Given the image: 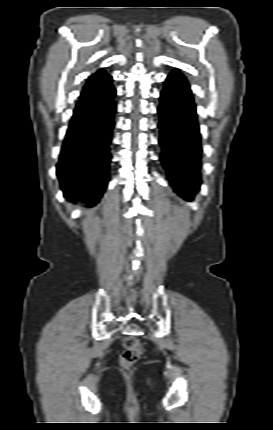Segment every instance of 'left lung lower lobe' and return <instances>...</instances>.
I'll return each instance as SVG.
<instances>
[{
	"label": "left lung lower lobe",
	"instance_id": "left-lung-lower-lobe-1",
	"mask_svg": "<svg viewBox=\"0 0 273 430\" xmlns=\"http://www.w3.org/2000/svg\"><path fill=\"white\" fill-rule=\"evenodd\" d=\"M158 113L163 166L174 191L191 201L201 184V137L190 86L177 70L166 78Z\"/></svg>",
	"mask_w": 273,
	"mask_h": 430
}]
</instances>
